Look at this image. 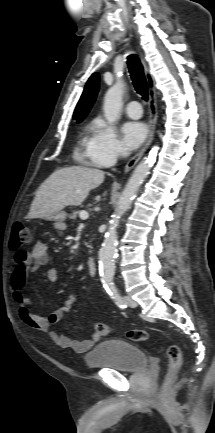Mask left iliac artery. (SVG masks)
I'll return each instance as SVG.
<instances>
[{
    "label": "left iliac artery",
    "mask_w": 215,
    "mask_h": 433,
    "mask_svg": "<svg viewBox=\"0 0 215 433\" xmlns=\"http://www.w3.org/2000/svg\"><path fill=\"white\" fill-rule=\"evenodd\" d=\"M105 289L118 307L122 309L127 307L114 284L107 285Z\"/></svg>",
    "instance_id": "1"
}]
</instances>
